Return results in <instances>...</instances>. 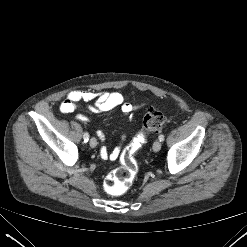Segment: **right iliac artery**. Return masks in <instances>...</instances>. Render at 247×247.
Wrapping results in <instances>:
<instances>
[{
  "mask_svg": "<svg viewBox=\"0 0 247 247\" xmlns=\"http://www.w3.org/2000/svg\"><path fill=\"white\" fill-rule=\"evenodd\" d=\"M83 138H84V142H88L89 134L87 132H85L84 135H83Z\"/></svg>",
  "mask_w": 247,
  "mask_h": 247,
  "instance_id": "1",
  "label": "right iliac artery"
}]
</instances>
